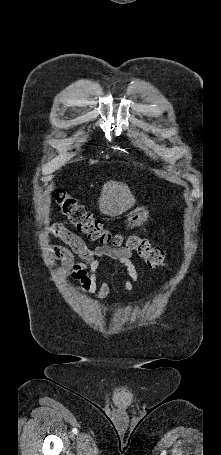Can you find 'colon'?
<instances>
[{"mask_svg":"<svg viewBox=\"0 0 221 455\" xmlns=\"http://www.w3.org/2000/svg\"><path fill=\"white\" fill-rule=\"evenodd\" d=\"M54 198L61 213L80 234L85 235L89 240L104 246L112 245L115 248H124L130 252H135L151 268H164L169 265L164 251L153 246L149 238L140 237L136 234L125 237L120 233L110 231L102 219L90 214L65 190H56Z\"/></svg>","mask_w":221,"mask_h":455,"instance_id":"5ec220e1","label":"colon"}]
</instances>
